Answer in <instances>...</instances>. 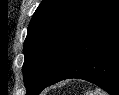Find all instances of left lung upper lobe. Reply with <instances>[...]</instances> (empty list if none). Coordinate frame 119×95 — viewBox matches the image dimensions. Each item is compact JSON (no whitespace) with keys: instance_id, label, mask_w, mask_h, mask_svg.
Masks as SVG:
<instances>
[{"instance_id":"obj_1","label":"left lung upper lobe","mask_w":119,"mask_h":95,"mask_svg":"<svg viewBox=\"0 0 119 95\" xmlns=\"http://www.w3.org/2000/svg\"><path fill=\"white\" fill-rule=\"evenodd\" d=\"M119 0H43L29 24L23 64L26 95L62 68L80 38Z\"/></svg>"}]
</instances>
